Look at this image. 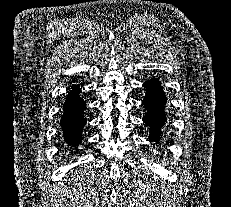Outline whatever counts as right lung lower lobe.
Returning a JSON list of instances; mask_svg holds the SVG:
<instances>
[{
    "mask_svg": "<svg viewBox=\"0 0 231 207\" xmlns=\"http://www.w3.org/2000/svg\"><path fill=\"white\" fill-rule=\"evenodd\" d=\"M80 89L74 86L63 105L61 127L65 141L72 146H78L82 141V130L86 123L83 111L86 103L79 96Z\"/></svg>",
    "mask_w": 231,
    "mask_h": 207,
    "instance_id": "98d812e1",
    "label": "right lung lower lobe"
}]
</instances>
